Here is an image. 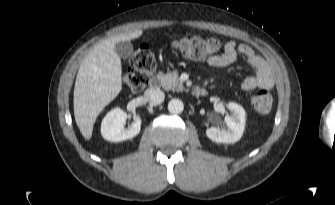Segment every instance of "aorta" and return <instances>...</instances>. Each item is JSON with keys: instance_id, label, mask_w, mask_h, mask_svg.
<instances>
[{"instance_id": "762f6f07", "label": "aorta", "mask_w": 335, "mask_h": 205, "mask_svg": "<svg viewBox=\"0 0 335 205\" xmlns=\"http://www.w3.org/2000/svg\"><path fill=\"white\" fill-rule=\"evenodd\" d=\"M184 104L179 99H172L168 103V111L171 114H180L183 112Z\"/></svg>"}]
</instances>
